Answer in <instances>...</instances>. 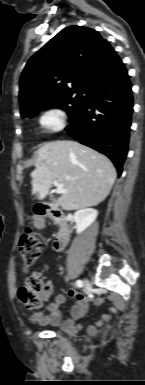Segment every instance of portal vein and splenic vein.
<instances>
[{
    "instance_id": "1",
    "label": "portal vein and splenic vein",
    "mask_w": 145,
    "mask_h": 385,
    "mask_svg": "<svg viewBox=\"0 0 145 385\" xmlns=\"http://www.w3.org/2000/svg\"><path fill=\"white\" fill-rule=\"evenodd\" d=\"M53 184L56 187L55 193L60 194V193H66L67 192V190L64 189V185L62 183L58 182L57 180H54Z\"/></svg>"
}]
</instances>
